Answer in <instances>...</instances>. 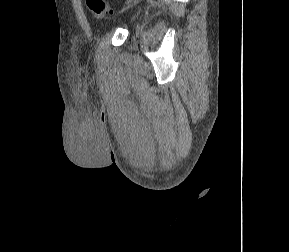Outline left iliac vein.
Wrapping results in <instances>:
<instances>
[{"mask_svg":"<svg viewBox=\"0 0 289 252\" xmlns=\"http://www.w3.org/2000/svg\"><path fill=\"white\" fill-rule=\"evenodd\" d=\"M139 1H141V0H134L131 4L128 5L127 8L132 7L133 5L137 4Z\"/></svg>","mask_w":289,"mask_h":252,"instance_id":"left-iliac-vein-1","label":"left iliac vein"}]
</instances>
